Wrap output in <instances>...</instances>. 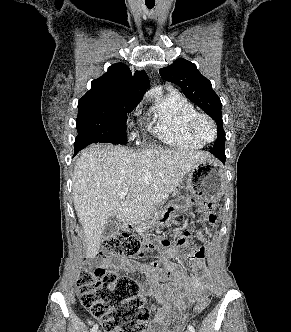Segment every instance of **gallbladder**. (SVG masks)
Segmentation results:
<instances>
[{"instance_id": "gallbladder-1", "label": "gallbladder", "mask_w": 291, "mask_h": 332, "mask_svg": "<svg viewBox=\"0 0 291 332\" xmlns=\"http://www.w3.org/2000/svg\"><path fill=\"white\" fill-rule=\"evenodd\" d=\"M119 231V224L113 218H109L103 227L102 238L109 239Z\"/></svg>"}]
</instances>
